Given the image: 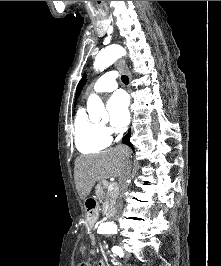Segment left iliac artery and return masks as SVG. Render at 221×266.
Listing matches in <instances>:
<instances>
[{"mask_svg":"<svg viewBox=\"0 0 221 266\" xmlns=\"http://www.w3.org/2000/svg\"><path fill=\"white\" fill-rule=\"evenodd\" d=\"M112 252L116 253L120 257H123V255H124L123 250L119 246H113L112 247Z\"/></svg>","mask_w":221,"mask_h":266,"instance_id":"left-iliac-artery-1","label":"left iliac artery"}]
</instances>
